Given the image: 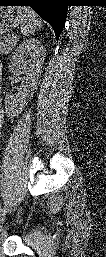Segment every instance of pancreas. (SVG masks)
Masks as SVG:
<instances>
[{"label": "pancreas", "instance_id": "obj_1", "mask_svg": "<svg viewBox=\"0 0 106 257\" xmlns=\"http://www.w3.org/2000/svg\"><path fill=\"white\" fill-rule=\"evenodd\" d=\"M17 37H3L0 41V53L2 55H7L17 44Z\"/></svg>", "mask_w": 106, "mask_h": 257}]
</instances>
